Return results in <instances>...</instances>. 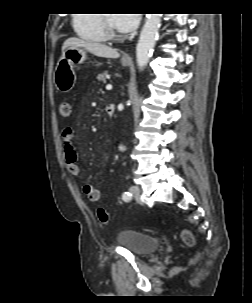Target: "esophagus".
<instances>
[{
    "label": "esophagus",
    "instance_id": "esophagus-1",
    "mask_svg": "<svg viewBox=\"0 0 252 303\" xmlns=\"http://www.w3.org/2000/svg\"><path fill=\"white\" fill-rule=\"evenodd\" d=\"M123 60H130V57L125 55V56H123Z\"/></svg>",
    "mask_w": 252,
    "mask_h": 303
}]
</instances>
